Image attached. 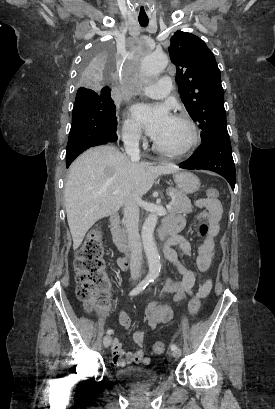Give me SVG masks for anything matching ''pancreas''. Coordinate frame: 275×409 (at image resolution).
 Listing matches in <instances>:
<instances>
[{
    "instance_id": "obj_1",
    "label": "pancreas",
    "mask_w": 275,
    "mask_h": 409,
    "mask_svg": "<svg viewBox=\"0 0 275 409\" xmlns=\"http://www.w3.org/2000/svg\"><path fill=\"white\" fill-rule=\"evenodd\" d=\"M166 192L172 196V209H168V213H192L191 200L184 192L173 186L166 188Z\"/></svg>"
}]
</instances>
